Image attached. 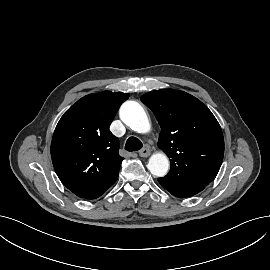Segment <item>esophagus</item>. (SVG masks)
<instances>
[{
    "mask_svg": "<svg viewBox=\"0 0 270 270\" xmlns=\"http://www.w3.org/2000/svg\"><path fill=\"white\" fill-rule=\"evenodd\" d=\"M150 155V149L148 147H144L139 151V156L148 157Z\"/></svg>",
    "mask_w": 270,
    "mask_h": 270,
    "instance_id": "esophagus-1",
    "label": "esophagus"
}]
</instances>
